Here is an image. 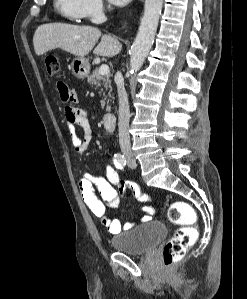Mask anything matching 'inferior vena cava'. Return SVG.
Here are the masks:
<instances>
[{
  "mask_svg": "<svg viewBox=\"0 0 247 299\" xmlns=\"http://www.w3.org/2000/svg\"><path fill=\"white\" fill-rule=\"evenodd\" d=\"M115 83L117 85V92L119 98V114H118V131H119V144L122 153L131 152V143L129 136V102L128 96L124 87V81L120 72L115 75Z\"/></svg>",
  "mask_w": 247,
  "mask_h": 299,
  "instance_id": "inferior-vena-cava-1",
  "label": "inferior vena cava"
}]
</instances>
